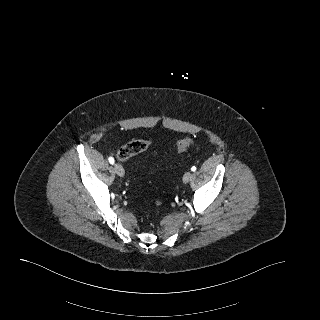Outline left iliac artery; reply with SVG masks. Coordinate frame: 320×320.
<instances>
[{
    "instance_id": "obj_1",
    "label": "left iliac artery",
    "mask_w": 320,
    "mask_h": 320,
    "mask_svg": "<svg viewBox=\"0 0 320 320\" xmlns=\"http://www.w3.org/2000/svg\"><path fill=\"white\" fill-rule=\"evenodd\" d=\"M191 170H192L193 172L196 171V167L193 166V167L191 168Z\"/></svg>"
}]
</instances>
